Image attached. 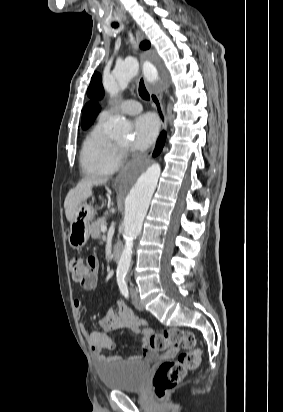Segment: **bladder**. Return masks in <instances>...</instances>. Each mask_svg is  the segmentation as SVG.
Here are the masks:
<instances>
[{
  "mask_svg": "<svg viewBox=\"0 0 283 412\" xmlns=\"http://www.w3.org/2000/svg\"><path fill=\"white\" fill-rule=\"evenodd\" d=\"M149 365L145 362L117 361L99 374L103 385L112 390L138 392L144 389Z\"/></svg>",
  "mask_w": 283,
  "mask_h": 412,
  "instance_id": "1",
  "label": "bladder"
}]
</instances>
